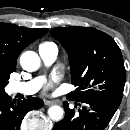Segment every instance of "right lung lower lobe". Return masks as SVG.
Here are the masks:
<instances>
[{
    "label": "right lung lower lobe",
    "mask_w": 130,
    "mask_h": 130,
    "mask_svg": "<svg viewBox=\"0 0 130 130\" xmlns=\"http://www.w3.org/2000/svg\"><path fill=\"white\" fill-rule=\"evenodd\" d=\"M43 103L41 99L33 97L11 101L5 91L0 92V130H20L25 114L41 108Z\"/></svg>",
    "instance_id": "98d812e1"
}]
</instances>
